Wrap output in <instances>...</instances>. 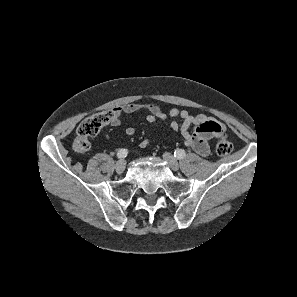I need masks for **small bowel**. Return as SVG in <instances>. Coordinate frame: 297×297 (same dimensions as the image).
Wrapping results in <instances>:
<instances>
[{"instance_id": "1", "label": "small bowel", "mask_w": 297, "mask_h": 297, "mask_svg": "<svg viewBox=\"0 0 297 297\" xmlns=\"http://www.w3.org/2000/svg\"><path fill=\"white\" fill-rule=\"evenodd\" d=\"M140 111L147 112V120L150 123L169 122V126L174 131H179L183 137L184 144L192 148L201 156H207L210 152L209 141L220 136L223 132L222 125L205 114L192 115L187 110H178L172 108L166 114L158 105L129 103L114 109L115 117L112 120V125L120 126V117L124 114H133ZM193 127V131H190ZM127 136H133L135 129L127 127L125 129ZM149 145V140L145 139L141 142L140 147L146 148Z\"/></svg>"}]
</instances>
